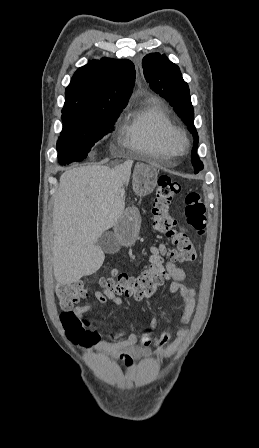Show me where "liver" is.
Segmentation results:
<instances>
[{
	"mask_svg": "<svg viewBox=\"0 0 259 448\" xmlns=\"http://www.w3.org/2000/svg\"><path fill=\"white\" fill-rule=\"evenodd\" d=\"M133 160L116 168L83 166L60 176L53 206V274L73 284L101 268L105 256L95 242L116 226L125 208L119 192L129 182Z\"/></svg>",
	"mask_w": 259,
	"mask_h": 448,
	"instance_id": "liver-1",
	"label": "liver"
}]
</instances>
